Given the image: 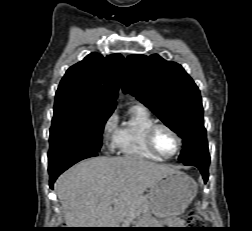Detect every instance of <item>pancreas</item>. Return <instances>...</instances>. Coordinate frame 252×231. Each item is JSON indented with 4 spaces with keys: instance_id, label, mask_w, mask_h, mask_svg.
Listing matches in <instances>:
<instances>
[{
    "instance_id": "cf45deb5",
    "label": "pancreas",
    "mask_w": 252,
    "mask_h": 231,
    "mask_svg": "<svg viewBox=\"0 0 252 231\" xmlns=\"http://www.w3.org/2000/svg\"><path fill=\"white\" fill-rule=\"evenodd\" d=\"M146 201H147V198L145 196H141L139 201H138L139 206H144L146 204ZM143 220H144V223H150L151 222L148 219V217H144Z\"/></svg>"
}]
</instances>
